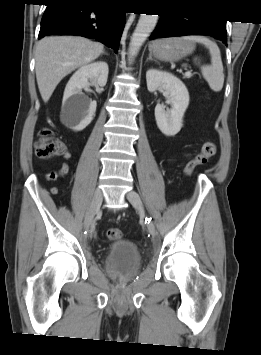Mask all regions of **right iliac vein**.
I'll list each match as a JSON object with an SVG mask.
<instances>
[{
  "label": "right iliac vein",
  "instance_id": "obj_1",
  "mask_svg": "<svg viewBox=\"0 0 261 355\" xmlns=\"http://www.w3.org/2000/svg\"><path fill=\"white\" fill-rule=\"evenodd\" d=\"M102 199H103L102 191L100 188H97L94 192L90 207H89V209L86 213L85 219H84V228L85 229H88L91 226L95 215L97 214V212L100 209Z\"/></svg>",
  "mask_w": 261,
  "mask_h": 355
}]
</instances>
